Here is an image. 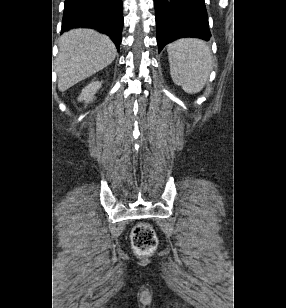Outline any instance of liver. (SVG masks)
Returning <instances> with one entry per match:
<instances>
[{"mask_svg":"<svg viewBox=\"0 0 286 308\" xmlns=\"http://www.w3.org/2000/svg\"><path fill=\"white\" fill-rule=\"evenodd\" d=\"M58 46L56 72L62 92L107 67L117 53L109 37L90 29L64 33Z\"/></svg>","mask_w":286,"mask_h":308,"instance_id":"liver-1","label":"liver"}]
</instances>
